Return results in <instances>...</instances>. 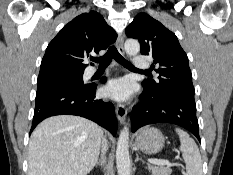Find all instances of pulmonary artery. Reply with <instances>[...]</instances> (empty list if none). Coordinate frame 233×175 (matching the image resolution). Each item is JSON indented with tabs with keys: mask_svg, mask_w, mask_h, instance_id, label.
Returning a JSON list of instances; mask_svg holds the SVG:
<instances>
[{
	"mask_svg": "<svg viewBox=\"0 0 233 175\" xmlns=\"http://www.w3.org/2000/svg\"><path fill=\"white\" fill-rule=\"evenodd\" d=\"M133 64L136 69H146L149 67L148 61L143 56H134L133 57ZM95 72V69H90L88 71L89 74H92Z\"/></svg>",
	"mask_w": 233,
	"mask_h": 175,
	"instance_id": "1",
	"label": "pulmonary artery"
}]
</instances>
